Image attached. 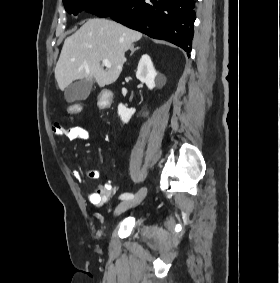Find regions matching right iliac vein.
Returning a JSON list of instances; mask_svg holds the SVG:
<instances>
[{
	"mask_svg": "<svg viewBox=\"0 0 280 283\" xmlns=\"http://www.w3.org/2000/svg\"><path fill=\"white\" fill-rule=\"evenodd\" d=\"M147 195V188L142 187L132 199L124 200L115 208L113 215L118 216L126 210L139 205Z\"/></svg>",
	"mask_w": 280,
	"mask_h": 283,
	"instance_id": "63e3f726",
	"label": "right iliac vein"
}]
</instances>
